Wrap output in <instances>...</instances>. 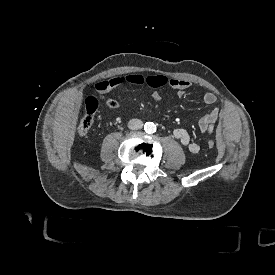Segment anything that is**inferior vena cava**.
I'll use <instances>...</instances> for the list:
<instances>
[{"mask_svg":"<svg viewBox=\"0 0 275 275\" xmlns=\"http://www.w3.org/2000/svg\"><path fill=\"white\" fill-rule=\"evenodd\" d=\"M143 127V122L140 119H131L128 122V128L131 130H138Z\"/></svg>","mask_w":275,"mask_h":275,"instance_id":"602c4592","label":"inferior vena cava"}]
</instances>
